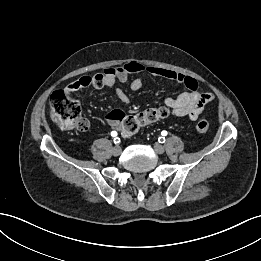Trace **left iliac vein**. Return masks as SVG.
<instances>
[{
	"mask_svg": "<svg viewBox=\"0 0 261 261\" xmlns=\"http://www.w3.org/2000/svg\"><path fill=\"white\" fill-rule=\"evenodd\" d=\"M154 150L157 154H163L165 151L164 146H162L161 144H155L154 145Z\"/></svg>",
	"mask_w": 261,
	"mask_h": 261,
	"instance_id": "1",
	"label": "left iliac vein"
}]
</instances>
